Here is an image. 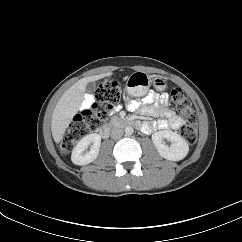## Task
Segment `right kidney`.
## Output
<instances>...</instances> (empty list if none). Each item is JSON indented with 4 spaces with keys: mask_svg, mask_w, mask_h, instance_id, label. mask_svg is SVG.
<instances>
[{
    "mask_svg": "<svg viewBox=\"0 0 242 242\" xmlns=\"http://www.w3.org/2000/svg\"><path fill=\"white\" fill-rule=\"evenodd\" d=\"M101 144V136L93 133L83 137L74 147L71 160L76 165H86L94 161L98 154ZM91 145V146H90ZM90 146V150L86 149Z\"/></svg>",
    "mask_w": 242,
    "mask_h": 242,
    "instance_id": "right-kidney-1",
    "label": "right kidney"
}]
</instances>
